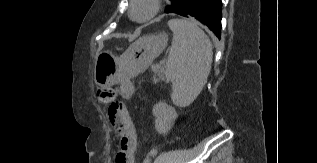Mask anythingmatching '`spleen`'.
I'll use <instances>...</instances> for the list:
<instances>
[{"instance_id": "spleen-1", "label": "spleen", "mask_w": 317, "mask_h": 163, "mask_svg": "<svg viewBox=\"0 0 317 163\" xmlns=\"http://www.w3.org/2000/svg\"><path fill=\"white\" fill-rule=\"evenodd\" d=\"M168 26L173 39L165 69L172 82L171 99L175 105L186 107L207 82L213 48L208 36L192 21L172 19Z\"/></svg>"}]
</instances>
